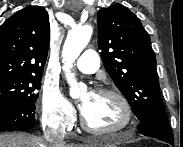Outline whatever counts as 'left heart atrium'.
<instances>
[{"mask_svg": "<svg viewBox=\"0 0 183 147\" xmlns=\"http://www.w3.org/2000/svg\"><path fill=\"white\" fill-rule=\"evenodd\" d=\"M89 94H91V93H89ZM84 108H85V101L82 100L80 103V109L83 111Z\"/></svg>", "mask_w": 183, "mask_h": 147, "instance_id": "obj_1", "label": "left heart atrium"}]
</instances>
